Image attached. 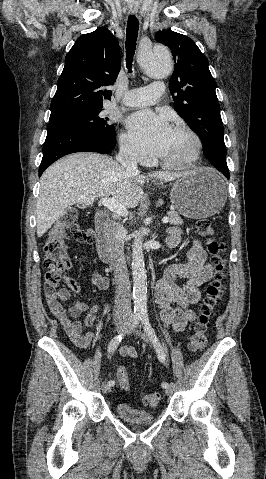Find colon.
Returning a JSON list of instances; mask_svg holds the SVG:
<instances>
[{
	"instance_id": "colon-1",
	"label": "colon",
	"mask_w": 266,
	"mask_h": 479,
	"mask_svg": "<svg viewBox=\"0 0 266 479\" xmlns=\"http://www.w3.org/2000/svg\"><path fill=\"white\" fill-rule=\"evenodd\" d=\"M77 213L69 210L64 217L57 222L49 231L44 244V265L45 288L52 291L59 284L63 274L70 267V259L67 253L65 237L70 231L75 240L89 242L93 238L91 229H83L76 224ZM197 233L206 241L208 252L211 255L214 267V277L209 283L206 296L200 308L197 322L188 342V348L192 352H199L207 345V329L209 321L216 306L224 293V281L226 276V264L223 257L224 243L216 238L215 230L210 220L200 219L196 223ZM119 385L123 390L130 388L128 371L125 367L117 370ZM159 395L148 393L143 396V403L148 406H155L158 403Z\"/></svg>"
}]
</instances>
